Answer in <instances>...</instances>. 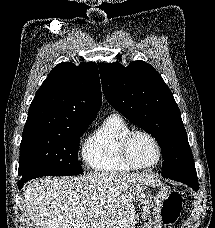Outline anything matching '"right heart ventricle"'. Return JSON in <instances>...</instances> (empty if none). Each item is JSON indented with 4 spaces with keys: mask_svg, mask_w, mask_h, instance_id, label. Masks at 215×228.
Here are the masks:
<instances>
[{
    "mask_svg": "<svg viewBox=\"0 0 215 228\" xmlns=\"http://www.w3.org/2000/svg\"><path fill=\"white\" fill-rule=\"evenodd\" d=\"M132 130L125 118L117 113L108 115L84 141L82 154L86 166L97 173L129 172L119 154L120 139Z\"/></svg>",
    "mask_w": 215,
    "mask_h": 228,
    "instance_id": "right-heart-ventricle-1",
    "label": "right heart ventricle"
}]
</instances>
